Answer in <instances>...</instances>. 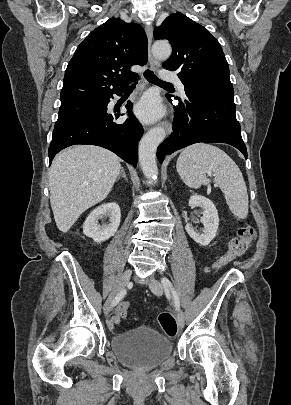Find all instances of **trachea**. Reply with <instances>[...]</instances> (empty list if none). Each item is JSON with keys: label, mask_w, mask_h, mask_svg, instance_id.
I'll list each match as a JSON object with an SVG mask.
<instances>
[{"label": "trachea", "mask_w": 291, "mask_h": 405, "mask_svg": "<svg viewBox=\"0 0 291 405\" xmlns=\"http://www.w3.org/2000/svg\"><path fill=\"white\" fill-rule=\"evenodd\" d=\"M144 76H145V78H146L150 83H153V84H156V85H163V86H172L171 83H167V82L161 81V80H160L152 71H150V70H146V71L144 72ZM135 85H136V83H134L133 85H131L129 88H134Z\"/></svg>", "instance_id": "1"}]
</instances>
